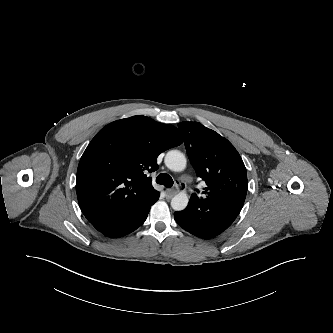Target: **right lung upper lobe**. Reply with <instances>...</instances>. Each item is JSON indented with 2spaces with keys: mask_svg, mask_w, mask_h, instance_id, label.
I'll list each match as a JSON object with an SVG mask.
<instances>
[{
  "mask_svg": "<svg viewBox=\"0 0 333 333\" xmlns=\"http://www.w3.org/2000/svg\"><path fill=\"white\" fill-rule=\"evenodd\" d=\"M183 142L180 131L145 116L102 128L84 151L77 169L79 206L90 221L137 212L159 199L149 173L160 153Z\"/></svg>",
  "mask_w": 333,
  "mask_h": 333,
  "instance_id": "cb5924a9",
  "label": "right lung upper lobe"
}]
</instances>
